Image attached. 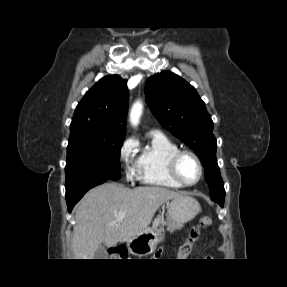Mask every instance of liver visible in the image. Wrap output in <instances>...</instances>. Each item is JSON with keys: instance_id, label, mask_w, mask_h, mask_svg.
<instances>
[{"instance_id": "liver-1", "label": "liver", "mask_w": 287, "mask_h": 287, "mask_svg": "<svg viewBox=\"0 0 287 287\" xmlns=\"http://www.w3.org/2000/svg\"><path fill=\"white\" fill-rule=\"evenodd\" d=\"M181 195L155 186L130 189L105 183L93 188L75 207L72 238L75 259H95L102 243L110 248L139 235L148 228L160 206ZM121 212L126 215L117 221Z\"/></svg>"}]
</instances>
